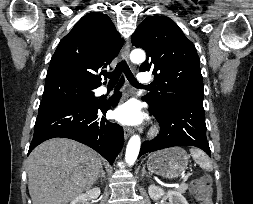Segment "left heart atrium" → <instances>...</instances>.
Listing matches in <instances>:
<instances>
[{
  "label": "left heart atrium",
  "mask_w": 253,
  "mask_h": 204,
  "mask_svg": "<svg viewBox=\"0 0 253 204\" xmlns=\"http://www.w3.org/2000/svg\"><path fill=\"white\" fill-rule=\"evenodd\" d=\"M114 118L123 125H138L145 119L138 104L134 101H128L120 105L114 111Z\"/></svg>",
  "instance_id": "39dd6f15"
}]
</instances>
